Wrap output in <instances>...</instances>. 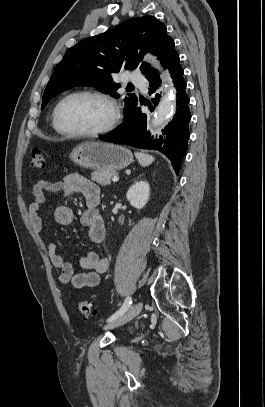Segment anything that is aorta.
<instances>
[{
	"instance_id": "aorta-1",
	"label": "aorta",
	"mask_w": 265,
	"mask_h": 407,
	"mask_svg": "<svg viewBox=\"0 0 265 407\" xmlns=\"http://www.w3.org/2000/svg\"><path fill=\"white\" fill-rule=\"evenodd\" d=\"M148 60L150 63L156 67L158 70L161 71L162 75L167 79L170 80V77L167 73H165L161 67L159 62L156 60L155 57L149 56ZM176 107V102H175V92L173 88H167L165 95L162 97L156 112L154 114V117L151 121V124L153 127H158L165 122H167L171 116L173 115Z\"/></svg>"
}]
</instances>
